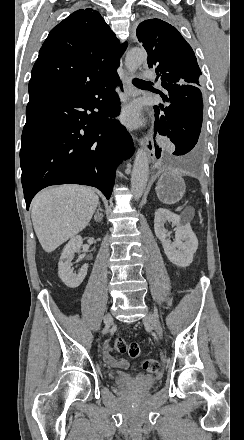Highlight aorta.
I'll return each instance as SVG.
<instances>
[{
    "mask_svg": "<svg viewBox=\"0 0 244 440\" xmlns=\"http://www.w3.org/2000/svg\"><path fill=\"white\" fill-rule=\"evenodd\" d=\"M146 51L141 48H133L126 54L125 65L130 73H134L138 67L145 62ZM149 174V161L145 148H140L136 152L133 170L131 174V190L138 199L145 191Z\"/></svg>",
    "mask_w": 244,
    "mask_h": 440,
    "instance_id": "1",
    "label": "aorta"
}]
</instances>
